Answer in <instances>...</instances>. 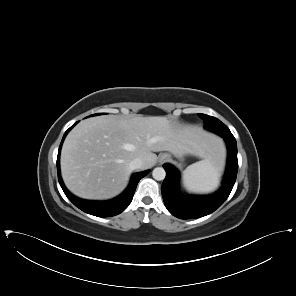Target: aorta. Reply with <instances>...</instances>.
<instances>
[{
	"label": "aorta",
	"mask_w": 296,
	"mask_h": 296,
	"mask_svg": "<svg viewBox=\"0 0 296 296\" xmlns=\"http://www.w3.org/2000/svg\"><path fill=\"white\" fill-rule=\"evenodd\" d=\"M152 176L155 180L161 181V180H164V178L166 176V172H165L164 168L157 167L153 170Z\"/></svg>",
	"instance_id": "762f6f07"
}]
</instances>
